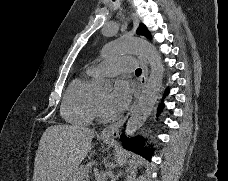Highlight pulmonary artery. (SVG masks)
Returning <instances> with one entry per match:
<instances>
[{
    "label": "pulmonary artery",
    "mask_w": 228,
    "mask_h": 181,
    "mask_svg": "<svg viewBox=\"0 0 228 181\" xmlns=\"http://www.w3.org/2000/svg\"><path fill=\"white\" fill-rule=\"evenodd\" d=\"M105 61L111 63L103 65V70L135 71L138 67V62H134V57L105 58Z\"/></svg>",
    "instance_id": "pulmonary-artery-1"
}]
</instances>
